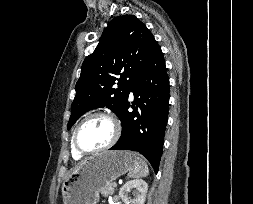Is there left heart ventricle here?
<instances>
[{
    "label": "left heart ventricle",
    "mask_w": 253,
    "mask_h": 204,
    "mask_svg": "<svg viewBox=\"0 0 253 204\" xmlns=\"http://www.w3.org/2000/svg\"><path fill=\"white\" fill-rule=\"evenodd\" d=\"M112 123L102 117L90 119L78 132V144L84 150H94L105 146L113 137Z\"/></svg>",
    "instance_id": "obj_1"
}]
</instances>
